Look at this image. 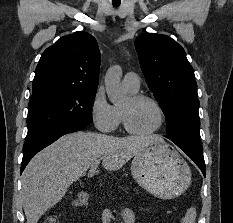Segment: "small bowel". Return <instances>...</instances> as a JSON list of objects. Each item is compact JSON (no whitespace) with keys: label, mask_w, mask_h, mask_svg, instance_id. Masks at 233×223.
I'll return each mask as SVG.
<instances>
[{"label":"small bowel","mask_w":233,"mask_h":223,"mask_svg":"<svg viewBox=\"0 0 233 223\" xmlns=\"http://www.w3.org/2000/svg\"><path fill=\"white\" fill-rule=\"evenodd\" d=\"M123 223H135L134 212L130 208H124L122 211Z\"/></svg>","instance_id":"c3829d8e"}]
</instances>
